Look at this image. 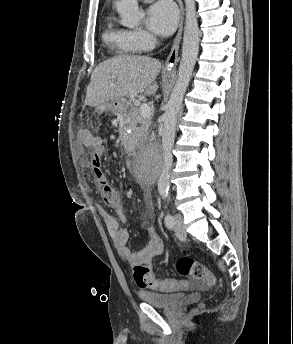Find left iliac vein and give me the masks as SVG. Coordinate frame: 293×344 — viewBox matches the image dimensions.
<instances>
[{
  "instance_id": "obj_1",
  "label": "left iliac vein",
  "mask_w": 293,
  "mask_h": 344,
  "mask_svg": "<svg viewBox=\"0 0 293 344\" xmlns=\"http://www.w3.org/2000/svg\"><path fill=\"white\" fill-rule=\"evenodd\" d=\"M174 220H175V226H174L175 235L180 239L185 238L187 233H186L184 222H183V216L179 213H176L174 215Z\"/></svg>"
}]
</instances>
